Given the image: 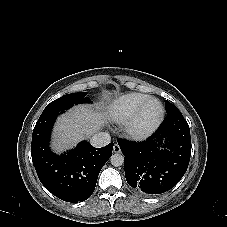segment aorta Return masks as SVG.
<instances>
[{
	"instance_id": "1",
	"label": "aorta",
	"mask_w": 227,
	"mask_h": 227,
	"mask_svg": "<svg viewBox=\"0 0 227 227\" xmlns=\"http://www.w3.org/2000/svg\"><path fill=\"white\" fill-rule=\"evenodd\" d=\"M110 162L114 167H119L124 164V156L121 153H115L111 156Z\"/></svg>"
}]
</instances>
